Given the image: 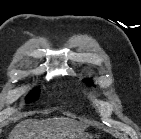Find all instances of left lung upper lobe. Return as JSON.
Here are the masks:
<instances>
[{
	"label": "left lung upper lobe",
	"mask_w": 141,
	"mask_h": 139,
	"mask_svg": "<svg viewBox=\"0 0 141 139\" xmlns=\"http://www.w3.org/2000/svg\"><path fill=\"white\" fill-rule=\"evenodd\" d=\"M85 82H87L89 85H93L90 80H85Z\"/></svg>",
	"instance_id": "1"
}]
</instances>
